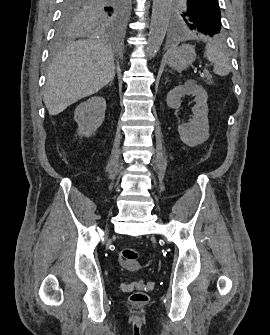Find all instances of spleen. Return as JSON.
Segmentation results:
<instances>
[{"label": "spleen", "instance_id": "3e777b00", "mask_svg": "<svg viewBox=\"0 0 270 335\" xmlns=\"http://www.w3.org/2000/svg\"><path fill=\"white\" fill-rule=\"evenodd\" d=\"M205 40L207 42L205 58H207L209 62H213L215 64L213 72L218 74V76H227V74H230L231 62L225 50L224 44H221L218 36H214V38H205Z\"/></svg>", "mask_w": 270, "mask_h": 335}]
</instances>
